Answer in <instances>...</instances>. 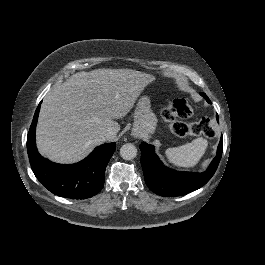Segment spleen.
<instances>
[{
	"label": "spleen",
	"mask_w": 265,
	"mask_h": 265,
	"mask_svg": "<svg viewBox=\"0 0 265 265\" xmlns=\"http://www.w3.org/2000/svg\"><path fill=\"white\" fill-rule=\"evenodd\" d=\"M208 146L206 139L200 137L191 143L179 147L168 148L165 154L170 163L179 167H193L204 155Z\"/></svg>",
	"instance_id": "1"
}]
</instances>
